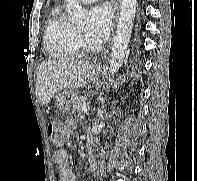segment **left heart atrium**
Instances as JSON below:
<instances>
[{
  "label": "left heart atrium",
  "instance_id": "1",
  "mask_svg": "<svg viewBox=\"0 0 197 181\" xmlns=\"http://www.w3.org/2000/svg\"><path fill=\"white\" fill-rule=\"evenodd\" d=\"M89 23L86 34L93 42L102 41L109 33L112 12L107 5H95L88 11Z\"/></svg>",
  "mask_w": 197,
  "mask_h": 181
}]
</instances>
